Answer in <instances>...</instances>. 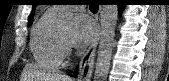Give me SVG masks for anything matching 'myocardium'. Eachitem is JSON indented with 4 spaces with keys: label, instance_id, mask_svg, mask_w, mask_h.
I'll return each mask as SVG.
<instances>
[{
    "label": "myocardium",
    "instance_id": "myocardium-1",
    "mask_svg": "<svg viewBox=\"0 0 169 81\" xmlns=\"http://www.w3.org/2000/svg\"><path fill=\"white\" fill-rule=\"evenodd\" d=\"M59 43L63 53H68L70 51L68 40H66L60 33H59Z\"/></svg>",
    "mask_w": 169,
    "mask_h": 81
}]
</instances>
